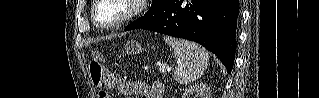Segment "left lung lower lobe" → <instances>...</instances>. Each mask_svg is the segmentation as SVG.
I'll list each match as a JSON object with an SVG mask.
<instances>
[{
	"mask_svg": "<svg viewBox=\"0 0 319 98\" xmlns=\"http://www.w3.org/2000/svg\"><path fill=\"white\" fill-rule=\"evenodd\" d=\"M239 0H165L162 15L138 27L195 41L214 53L231 74ZM128 25L125 31L138 29Z\"/></svg>",
	"mask_w": 319,
	"mask_h": 98,
	"instance_id": "1",
	"label": "left lung lower lobe"
}]
</instances>
